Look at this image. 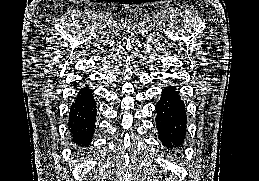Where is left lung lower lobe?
<instances>
[{
    "label": "left lung lower lobe",
    "instance_id": "left-lung-lower-lobe-1",
    "mask_svg": "<svg viewBox=\"0 0 259 181\" xmlns=\"http://www.w3.org/2000/svg\"><path fill=\"white\" fill-rule=\"evenodd\" d=\"M159 139L167 149L182 145L186 133V109L175 86H167L156 104Z\"/></svg>",
    "mask_w": 259,
    "mask_h": 181
}]
</instances>
